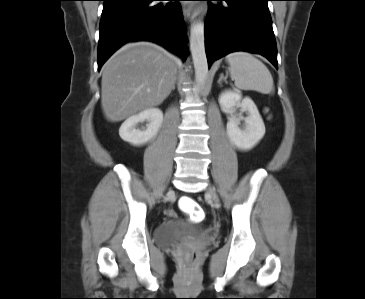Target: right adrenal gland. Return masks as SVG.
Here are the masks:
<instances>
[{
	"mask_svg": "<svg viewBox=\"0 0 365 299\" xmlns=\"http://www.w3.org/2000/svg\"><path fill=\"white\" fill-rule=\"evenodd\" d=\"M175 83H176V77L174 78V84H173L172 90H175Z\"/></svg>",
	"mask_w": 365,
	"mask_h": 299,
	"instance_id": "obj_1",
	"label": "right adrenal gland"
}]
</instances>
